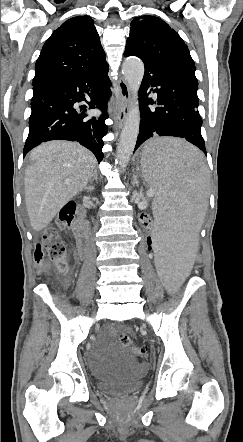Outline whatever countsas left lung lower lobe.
<instances>
[{
  "instance_id": "obj_1",
  "label": "left lung lower lobe",
  "mask_w": 243,
  "mask_h": 442,
  "mask_svg": "<svg viewBox=\"0 0 243 442\" xmlns=\"http://www.w3.org/2000/svg\"><path fill=\"white\" fill-rule=\"evenodd\" d=\"M124 55L131 56L133 53L125 51ZM142 61L145 72L139 91L141 121L135 150L147 139L174 136L185 138L206 154L200 130L202 119L197 110L199 100L195 72ZM150 87H156L157 101L148 98V93L153 90ZM156 102L160 107H148V104Z\"/></svg>"
}]
</instances>
